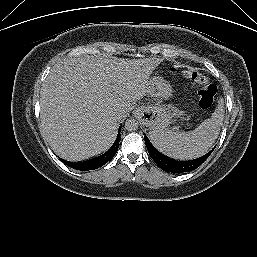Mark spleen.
<instances>
[{
  "label": "spleen",
  "mask_w": 257,
  "mask_h": 257,
  "mask_svg": "<svg viewBox=\"0 0 257 257\" xmlns=\"http://www.w3.org/2000/svg\"><path fill=\"white\" fill-rule=\"evenodd\" d=\"M224 120L223 100L219 101L211 118L205 119L197 128L188 132L172 130L150 131L154 147L167 157L189 160L207 153L217 139Z\"/></svg>",
  "instance_id": "obj_1"
}]
</instances>
